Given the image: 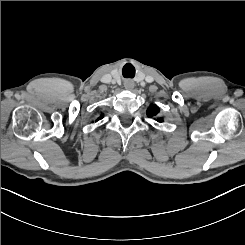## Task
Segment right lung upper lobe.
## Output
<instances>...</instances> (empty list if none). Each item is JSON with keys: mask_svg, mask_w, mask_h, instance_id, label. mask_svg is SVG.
Here are the masks:
<instances>
[{"mask_svg": "<svg viewBox=\"0 0 245 245\" xmlns=\"http://www.w3.org/2000/svg\"><path fill=\"white\" fill-rule=\"evenodd\" d=\"M101 118H103V115H102L100 118H98L97 120H99V119H101Z\"/></svg>", "mask_w": 245, "mask_h": 245, "instance_id": "obj_1", "label": "right lung upper lobe"}]
</instances>
